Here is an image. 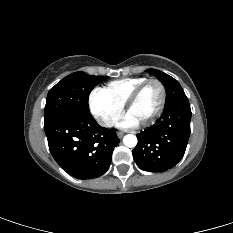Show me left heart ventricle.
Here are the masks:
<instances>
[{
  "instance_id": "left-heart-ventricle-1",
  "label": "left heart ventricle",
  "mask_w": 233,
  "mask_h": 233,
  "mask_svg": "<svg viewBox=\"0 0 233 233\" xmlns=\"http://www.w3.org/2000/svg\"><path fill=\"white\" fill-rule=\"evenodd\" d=\"M161 101L160 87L151 83L145 87L140 96L130 108L128 114L138 123L148 119L159 107Z\"/></svg>"
}]
</instances>
